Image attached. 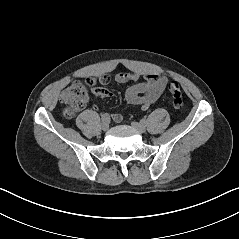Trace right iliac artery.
Returning a JSON list of instances; mask_svg holds the SVG:
<instances>
[{"mask_svg": "<svg viewBox=\"0 0 239 239\" xmlns=\"http://www.w3.org/2000/svg\"><path fill=\"white\" fill-rule=\"evenodd\" d=\"M102 122H108L110 120V115L105 113L101 116Z\"/></svg>", "mask_w": 239, "mask_h": 239, "instance_id": "1", "label": "right iliac artery"}]
</instances>
